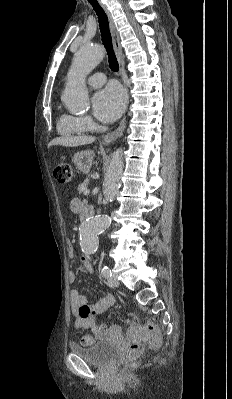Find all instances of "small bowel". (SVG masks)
Returning a JSON list of instances; mask_svg holds the SVG:
<instances>
[{
	"mask_svg": "<svg viewBox=\"0 0 232 399\" xmlns=\"http://www.w3.org/2000/svg\"><path fill=\"white\" fill-rule=\"evenodd\" d=\"M70 206L74 211L79 209V200L77 198H73L71 200ZM67 245L70 259L77 258V252L73 241L68 240ZM86 258L87 256L85 253H80V261L85 265V268L89 273L94 274V268L87 263ZM69 283L70 285L76 283V275L74 273L69 275ZM69 300L70 313L74 319V326L77 329L95 333L100 338L108 337L109 335L120 331L119 324H111L109 326L98 325L93 319L94 314L103 313L114 304L115 298L113 295L106 294L104 298L96 302L93 306H90L86 297L82 296L75 290H71L69 292Z\"/></svg>",
	"mask_w": 232,
	"mask_h": 399,
	"instance_id": "1",
	"label": "small bowel"
}]
</instances>
